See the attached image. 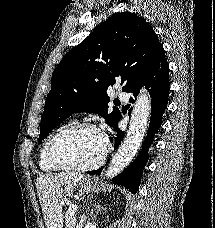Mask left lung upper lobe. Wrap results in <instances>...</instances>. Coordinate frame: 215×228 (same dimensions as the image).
Instances as JSON below:
<instances>
[{
	"label": "left lung upper lobe",
	"mask_w": 215,
	"mask_h": 228,
	"mask_svg": "<svg viewBox=\"0 0 215 228\" xmlns=\"http://www.w3.org/2000/svg\"><path fill=\"white\" fill-rule=\"evenodd\" d=\"M153 28L131 12L115 13L73 47L53 71L41 117L39 140L76 112L98 113L115 128L118 109L108 111L106 89L121 79L129 92L162 49Z\"/></svg>",
	"instance_id": "left-lung-upper-lobe-1"
}]
</instances>
